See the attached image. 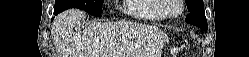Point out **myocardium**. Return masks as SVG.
I'll return each instance as SVG.
<instances>
[{
    "label": "myocardium",
    "mask_w": 249,
    "mask_h": 57,
    "mask_svg": "<svg viewBox=\"0 0 249 57\" xmlns=\"http://www.w3.org/2000/svg\"><path fill=\"white\" fill-rule=\"evenodd\" d=\"M162 1V11L164 15L169 19L179 18L184 11V0H161ZM176 3L179 7V11L177 14L173 15L170 13L171 6Z\"/></svg>",
    "instance_id": "f54148a6"
}]
</instances>
